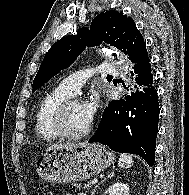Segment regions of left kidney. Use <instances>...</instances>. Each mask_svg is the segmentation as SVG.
I'll use <instances>...</instances> for the list:
<instances>
[{
  "label": "left kidney",
  "instance_id": "left-kidney-1",
  "mask_svg": "<svg viewBox=\"0 0 189 195\" xmlns=\"http://www.w3.org/2000/svg\"><path fill=\"white\" fill-rule=\"evenodd\" d=\"M108 195H130L129 186L123 183H115L106 191Z\"/></svg>",
  "mask_w": 189,
  "mask_h": 195
}]
</instances>
